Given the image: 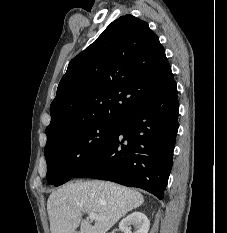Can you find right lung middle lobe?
<instances>
[{
  "label": "right lung middle lobe",
  "mask_w": 227,
  "mask_h": 233,
  "mask_svg": "<svg viewBox=\"0 0 227 233\" xmlns=\"http://www.w3.org/2000/svg\"><path fill=\"white\" fill-rule=\"evenodd\" d=\"M118 122H90L48 140L44 150L48 184L59 186L73 178L114 135Z\"/></svg>",
  "instance_id": "obj_1"
}]
</instances>
